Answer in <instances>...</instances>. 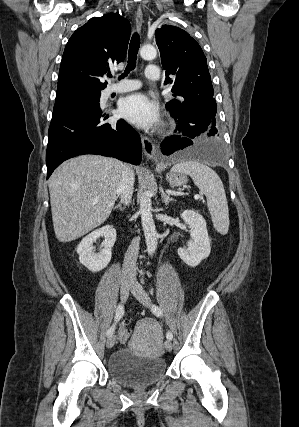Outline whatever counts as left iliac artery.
<instances>
[{"mask_svg":"<svg viewBox=\"0 0 299 427\" xmlns=\"http://www.w3.org/2000/svg\"><path fill=\"white\" fill-rule=\"evenodd\" d=\"M151 310L158 317L163 315L162 310L156 305H152ZM166 337H167V339L172 340L173 335L170 331H168L166 334Z\"/></svg>","mask_w":299,"mask_h":427,"instance_id":"1","label":"left iliac artery"}]
</instances>
